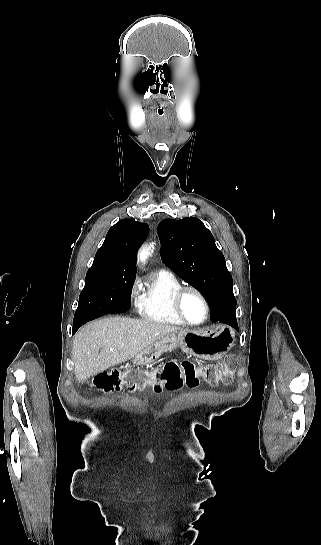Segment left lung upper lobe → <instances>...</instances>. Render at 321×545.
Here are the masks:
<instances>
[{
  "instance_id": "left-lung-upper-lobe-1",
  "label": "left lung upper lobe",
  "mask_w": 321,
  "mask_h": 545,
  "mask_svg": "<svg viewBox=\"0 0 321 545\" xmlns=\"http://www.w3.org/2000/svg\"><path fill=\"white\" fill-rule=\"evenodd\" d=\"M161 258L180 278L207 299L211 311H236L233 281L215 239L195 217L165 219L158 225Z\"/></svg>"
}]
</instances>
